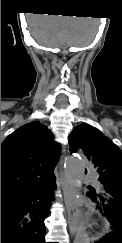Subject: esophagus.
I'll return each mask as SVG.
<instances>
[{
	"mask_svg": "<svg viewBox=\"0 0 122 243\" xmlns=\"http://www.w3.org/2000/svg\"><path fill=\"white\" fill-rule=\"evenodd\" d=\"M63 151H65V149ZM61 174H62V172H61ZM62 189H63V194H64V203H65L66 212H67L69 231L72 235H74L78 229L77 212H76V207L73 204V192H72L66 178H64V184L62 186Z\"/></svg>",
	"mask_w": 122,
	"mask_h": 243,
	"instance_id": "esophagus-1",
	"label": "esophagus"
}]
</instances>
